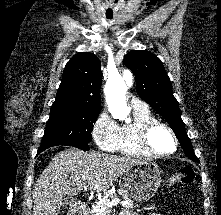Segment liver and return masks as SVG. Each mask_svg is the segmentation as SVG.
<instances>
[{
    "mask_svg": "<svg viewBox=\"0 0 221 215\" xmlns=\"http://www.w3.org/2000/svg\"><path fill=\"white\" fill-rule=\"evenodd\" d=\"M140 162L136 158L76 148L60 151L35 183L33 215H58L66 196H75L83 188L106 191L125 170Z\"/></svg>",
    "mask_w": 221,
    "mask_h": 215,
    "instance_id": "6515ba94",
    "label": "liver"
}]
</instances>
